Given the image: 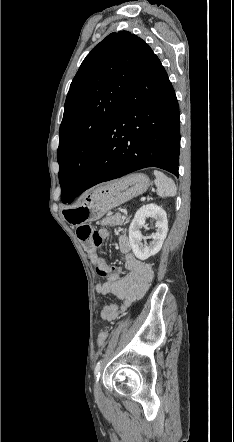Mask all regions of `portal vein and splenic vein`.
Masks as SVG:
<instances>
[{
  "mask_svg": "<svg viewBox=\"0 0 234 442\" xmlns=\"http://www.w3.org/2000/svg\"><path fill=\"white\" fill-rule=\"evenodd\" d=\"M145 200H146V197H142V198H141V201H145Z\"/></svg>",
  "mask_w": 234,
  "mask_h": 442,
  "instance_id": "1",
  "label": "portal vein and splenic vein"
}]
</instances>
